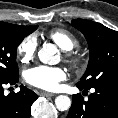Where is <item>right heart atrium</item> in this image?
Returning <instances> with one entry per match:
<instances>
[{"label": "right heart atrium", "mask_w": 118, "mask_h": 118, "mask_svg": "<svg viewBox=\"0 0 118 118\" xmlns=\"http://www.w3.org/2000/svg\"><path fill=\"white\" fill-rule=\"evenodd\" d=\"M38 48L37 37L33 34L25 36L17 46L16 54L22 63H28L36 54Z\"/></svg>", "instance_id": "1"}]
</instances>
